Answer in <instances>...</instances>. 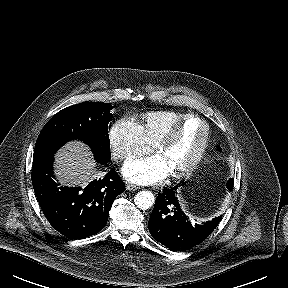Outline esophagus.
I'll return each instance as SVG.
<instances>
[{
	"label": "esophagus",
	"mask_w": 288,
	"mask_h": 288,
	"mask_svg": "<svg viewBox=\"0 0 288 288\" xmlns=\"http://www.w3.org/2000/svg\"><path fill=\"white\" fill-rule=\"evenodd\" d=\"M126 189L129 190V191H136V190L139 189V187H137V186H135V185H133V184L128 183V184H126Z\"/></svg>",
	"instance_id": "obj_1"
}]
</instances>
